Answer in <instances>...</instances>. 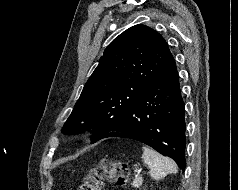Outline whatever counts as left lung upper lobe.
Returning <instances> with one entry per match:
<instances>
[{"mask_svg":"<svg viewBox=\"0 0 238 190\" xmlns=\"http://www.w3.org/2000/svg\"><path fill=\"white\" fill-rule=\"evenodd\" d=\"M173 59L154 29L142 24L127 29L105 49L62 132L94 128L91 143L99 141Z\"/></svg>","mask_w":238,"mask_h":190,"instance_id":"5c2ea615","label":"left lung upper lobe"}]
</instances>
